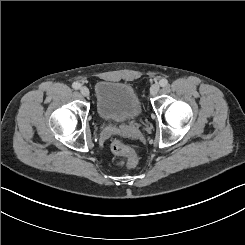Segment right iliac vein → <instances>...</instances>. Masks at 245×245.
Instances as JSON below:
<instances>
[{
  "label": "right iliac vein",
  "instance_id": "1",
  "mask_svg": "<svg viewBox=\"0 0 245 245\" xmlns=\"http://www.w3.org/2000/svg\"><path fill=\"white\" fill-rule=\"evenodd\" d=\"M80 93L83 96L87 97V96H89L90 92H89V89L86 86H83V87L80 88Z\"/></svg>",
  "mask_w": 245,
  "mask_h": 245
}]
</instances>
